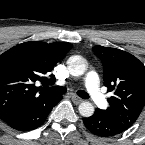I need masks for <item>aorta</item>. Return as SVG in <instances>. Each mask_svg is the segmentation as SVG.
I'll use <instances>...</instances> for the list:
<instances>
[{
    "instance_id": "1",
    "label": "aorta",
    "mask_w": 145,
    "mask_h": 145,
    "mask_svg": "<svg viewBox=\"0 0 145 145\" xmlns=\"http://www.w3.org/2000/svg\"><path fill=\"white\" fill-rule=\"evenodd\" d=\"M68 70L73 76H81L86 71V64L82 57L72 56L68 60ZM79 113L83 117H90L94 113V107L90 102H82L78 107Z\"/></svg>"
}]
</instances>
